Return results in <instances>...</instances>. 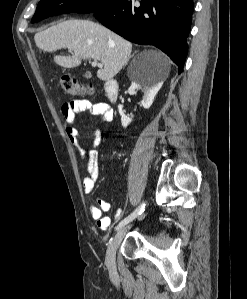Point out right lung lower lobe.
I'll use <instances>...</instances> for the list:
<instances>
[{
    "label": "right lung lower lobe",
    "instance_id": "98d812e1",
    "mask_svg": "<svg viewBox=\"0 0 247 299\" xmlns=\"http://www.w3.org/2000/svg\"><path fill=\"white\" fill-rule=\"evenodd\" d=\"M121 0L104 7L94 16L125 39L154 45L183 70L187 55L193 0Z\"/></svg>",
    "mask_w": 247,
    "mask_h": 299
}]
</instances>
